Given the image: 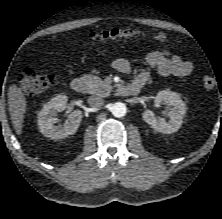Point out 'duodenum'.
<instances>
[{
	"instance_id": "obj_1",
	"label": "duodenum",
	"mask_w": 222,
	"mask_h": 219,
	"mask_svg": "<svg viewBox=\"0 0 222 219\" xmlns=\"http://www.w3.org/2000/svg\"><path fill=\"white\" fill-rule=\"evenodd\" d=\"M87 87L85 79L81 77L74 78L71 81V88L76 93L85 92ZM142 84L140 82H133L129 85H122L118 88L117 92L120 95H136L139 93Z\"/></svg>"
}]
</instances>
